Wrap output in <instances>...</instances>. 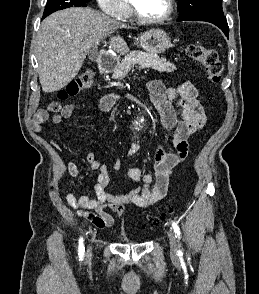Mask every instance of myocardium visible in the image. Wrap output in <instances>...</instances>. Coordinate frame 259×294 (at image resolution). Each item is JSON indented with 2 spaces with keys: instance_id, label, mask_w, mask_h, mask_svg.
Wrapping results in <instances>:
<instances>
[{
  "instance_id": "obj_1",
  "label": "myocardium",
  "mask_w": 259,
  "mask_h": 294,
  "mask_svg": "<svg viewBox=\"0 0 259 294\" xmlns=\"http://www.w3.org/2000/svg\"><path fill=\"white\" fill-rule=\"evenodd\" d=\"M129 4H130L131 12H132L134 18L136 19V21H138L139 23H142V24L163 23V22L167 21L172 16V14L174 12V0H167L166 12L162 16L157 17V18L145 17L139 12V10L131 2V0H129Z\"/></svg>"
}]
</instances>
